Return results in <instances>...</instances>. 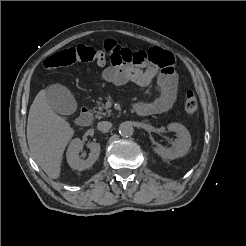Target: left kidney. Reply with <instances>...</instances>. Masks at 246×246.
I'll return each instance as SVG.
<instances>
[{"mask_svg": "<svg viewBox=\"0 0 246 246\" xmlns=\"http://www.w3.org/2000/svg\"><path fill=\"white\" fill-rule=\"evenodd\" d=\"M167 129L177 133L178 138L174 141L173 147L166 148L159 145L153 147L154 152L163 159L174 160L183 157L189 152L192 143L189 131L180 123H170Z\"/></svg>", "mask_w": 246, "mask_h": 246, "instance_id": "obj_1", "label": "left kidney"}]
</instances>
